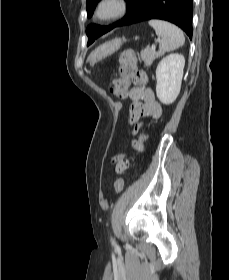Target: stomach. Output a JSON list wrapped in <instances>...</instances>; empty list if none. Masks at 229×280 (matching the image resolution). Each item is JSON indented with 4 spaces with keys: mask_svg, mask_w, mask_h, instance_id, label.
I'll list each match as a JSON object with an SVG mask.
<instances>
[{
    "mask_svg": "<svg viewBox=\"0 0 229 280\" xmlns=\"http://www.w3.org/2000/svg\"><path fill=\"white\" fill-rule=\"evenodd\" d=\"M123 43V39L116 38L111 41H108L101 46H99L97 49L92 51L90 55L87 58V62L91 65H94L98 61L106 58L107 56L113 54L115 51H117Z\"/></svg>",
    "mask_w": 229,
    "mask_h": 280,
    "instance_id": "obj_1",
    "label": "stomach"
}]
</instances>
